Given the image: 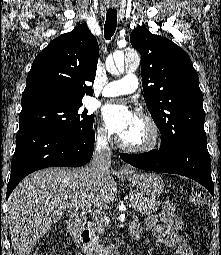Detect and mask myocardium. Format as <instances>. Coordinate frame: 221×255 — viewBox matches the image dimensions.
Instances as JSON below:
<instances>
[{
	"instance_id": "obj_1",
	"label": "myocardium",
	"mask_w": 221,
	"mask_h": 255,
	"mask_svg": "<svg viewBox=\"0 0 221 255\" xmlns=\"http://www.w3.org/2000/svg\"><path fill=\"white\" fill-rule=\"evenodd\" d=\"M135 116L146 124L149 130V139L142 144H129L124 142L120 136H118L116 139L118 146L131 153H147L155 150L158 147L161 138L158 124L146 112L137 111Z\"/></svg>"
}]
</instances>
